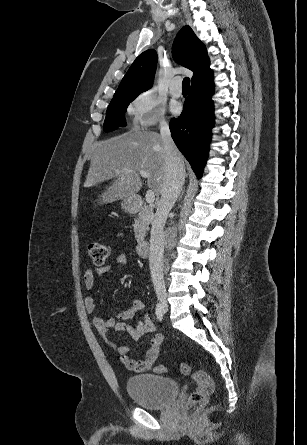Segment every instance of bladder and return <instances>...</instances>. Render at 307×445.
<instances>
[{
    "instance_id": "bladder-1",
    "label": "bladder",
    "mask_w": 307,
    "mask_h": 445,
    "mask_svg": "<svg viewBox=\"0 0 307 445\" xmlns=\"http://www.w3.org/2000/svg\"><path fill=\"white\" fill-rule=\"evenodd\" d=\"M130 398L139 406L157 410L171 404L178 395L179 385L171 378L151 373L130 376L126 381Z\"/></svg>"
}]
</instances>
